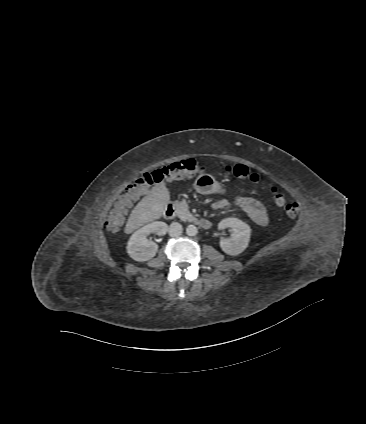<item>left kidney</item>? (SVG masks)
<instances>
[{"label":"left kidney","instance_id":"obj_1","mask_svg":"<svg viewBox=\"0 0 366 424\" xmlns=\"http://www.w3.org/2000/svg\"><path fill=\"white\" fill-rule=\"evenodd\" d=\"M232 228L230 238L220 240L221 249L228 255H238L242 253L249 244L251 229L250 226L238 218H225L218 224L219 229Z\"/></svg>","mask_w":366,"mask_h":424}]
</instances>
